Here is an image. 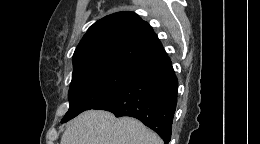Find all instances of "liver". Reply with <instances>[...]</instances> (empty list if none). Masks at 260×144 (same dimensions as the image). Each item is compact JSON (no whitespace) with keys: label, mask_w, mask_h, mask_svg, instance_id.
Returning <instances> with one entry per match:
<instances>
[{"label":"liver","mask_w":260,"mask_h":144,"mask_svg":"<svg viewBox=\"0 0 260 144\" xmlns=\"http://www.w3.org/2000/svg\"><path fill=\"white\" fill-rule=\"evenodd\" d=\"M61 144H163V141L137 119H117L107 111L89 110L67 125Z\"/></svg>","instance_id":"obj_1"}]
</instances>
